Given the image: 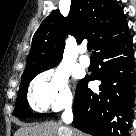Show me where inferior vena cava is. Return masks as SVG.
<instances>
[{
	"label": "inferior vena cava",
	"mask_w": 136,
	"mask_h": 136,
	"mask_svg": "<svg viewBox=\"0 0 136 136\" xmlns=\"http://www.w3.org/2000/svg\"><path fill=\"white\" fill-rule=\"evenodd\" d=\"M62 119L66 124H69L73 120V113L71 107H67L64 113L62 114Z\"/></svg>",
	"instance_id": "602c4592"
}]
</instances>
